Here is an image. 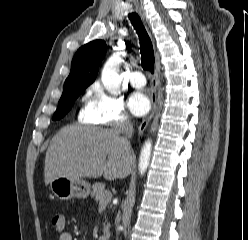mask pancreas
Masks as SVG:
<instances>
[{
	"label": "pancreas",
	"instance_id": "obj_1",
	"mask_svg": "<svg viewBox=\"0 0 248 240\" xmlns=\"http://www.w3.org/2000/svg\"><path fill=\"white\" fill-rule=\"evenodd\" d=\"M92 197L99 202V204H104L106 206L108 202L111 200V194L105 190V185L102 183H95L92 186ZM103 232L106 236H109V225H106L103 229Z\"/></svg>",
	"mask_w": 248,
	"mask_h": 240
}]
</instances>
